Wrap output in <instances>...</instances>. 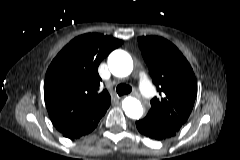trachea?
<instances>
[{"mask_svg": "<svg viewBox=\"0 0 240 160\" xmlns=\"http://www.w3.org/2000/svg\"><path fill=\"white\" fill-rule=\"evenodd\" d=\"M131 91H132V87L130 85H127V84H119L116 87V93L119 96L129 94Z\"/></svg>", "mask_w": 240, "mask_h": 160, "instance_id": "3493384b", "label": "trachea"}]
</instances>
